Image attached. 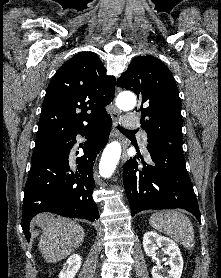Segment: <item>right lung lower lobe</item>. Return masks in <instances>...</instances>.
Returning <instances> with one entry per match:
<instances>
[{
    "mask_svg": "<svg viewBox=\"0 0 221 278\" xmlns=\"http://www.w3.org/2000/svg\"><path fill=\"white\" fill-rule=\"evenodd\" d=\"M111 125L109 116L86 126L51 144L39 159L31 162L21 222L28 241L30 221L41 212L89 221L99 218L97 205L92 199L95 188L93 165L108 141ZM78 134L88 140L82 146L84 155L76 159L75 166L69 161V153Z\"/></svg>",
    "mask_w": 221,
    "mask_h": 278,
    "instance_id": "right-lung-lower-lobe-1",
    "label": "right lung lower lobe"
}]
</instances>
